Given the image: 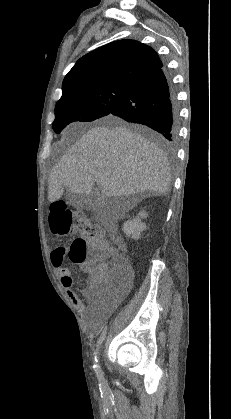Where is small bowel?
Segmentation results:
<instances>
[{"mask_svg":"<svg viewBox=\"0 0 231 419\" xmlns=\"http://www.w3.org/2000/svg\"><path fill=\"white\" fill-rule=\"evenodd\" d=\"M66 253V249L65 248H57L55 250H53L51 252V260L52 263L57 271V274L60 278V282L62 287L64 288V290L66 291L67 296L69 297V299L72 301V303L74 304V306L79 310V312L82 315H86L87 311H86V307L84 305V303L80 300V298L72 291V287H73V277L70 273V271L63 265V260H64V256ZM60 258L61 259V263H56L55 259ZM90 284L92 285V283L90 282ZM90 285V287L88 289H86L84 291V293L86 295H89L91 290H92V286ZM127 291V287H124L121 289L120 291V295H119V299L120 297H122V295ZM86 326L88 328V330L90 332H95L99 329V324L96 322V320H92L89 319L86 322Z\"/></svg>","mask_w":231,"mask_h":419,"instance_id":"1","label":"small bowel"}]
</instances>
